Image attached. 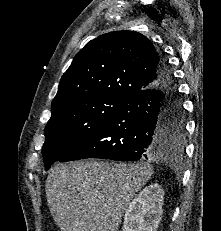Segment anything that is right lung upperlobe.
<instances>
[{"label":"right lung upper lobe","instance_id":"1","mask_svg":"<svg viewBox=\"0 0 221 231\" xmlns=\"http://www.w3.org/2000/svg\"><path fill=\"white\" fill-rule=\"evenodd\" d=\"M162 56L135 31H114L90 41L63 74L52 101V114L90 96L128 99L156 84Z\"/></svg>","mask_w":221,"mask_h":231}]
</instances>
